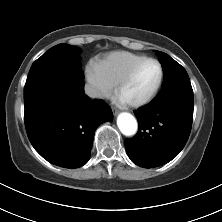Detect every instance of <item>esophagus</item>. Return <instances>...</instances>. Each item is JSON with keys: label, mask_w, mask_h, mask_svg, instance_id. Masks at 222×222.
<instances>
[{"label": "esophagus", "mask_w": 222, "mask_h": 222, "mask_svg": "<svg viewBox=\"0 0 222 222\" xmlns=\"http://www.w3.org/2000/svg\"><path fill=\"white\" fill-rule=\"evenodd\" d=\"M112 110H113V114L116 116L118 114V110L115 108H113Z\"/></svg>", "instance_id": "34e87169"}]
</instances>
